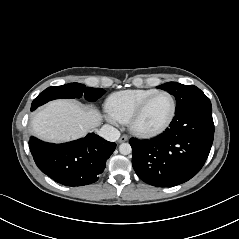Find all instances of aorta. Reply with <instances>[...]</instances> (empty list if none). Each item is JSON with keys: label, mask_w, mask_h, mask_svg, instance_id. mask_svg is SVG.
I'll return each instance as SVG.
<instances>
[{"label": "aorta", "mask_w": 239, "mask_h": 239, "mask_svg": "<svg viewBox=\"0 0 239 239\" xmlns=\"http://www.w3.org/2000/svg\"><path fill=\"white\" fill-rule=\"evenodd\" d=\"M119 152L123 155H128L132 152L131 145L129 143H122L119 146Z\"/></svg>", "instance_id": "1"}]
</instances>
